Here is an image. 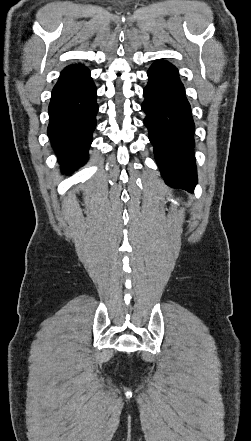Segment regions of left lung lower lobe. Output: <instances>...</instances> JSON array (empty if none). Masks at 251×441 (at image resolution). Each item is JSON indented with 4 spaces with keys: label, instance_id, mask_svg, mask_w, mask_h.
<instances>
[{
    "label": "left lung lower lobe",
    "instance_id": "left-lung-lower-lobe-1",
    "mask_svg": "<svg viewBox=\"0 0 251 441\" xmlns=\"http://www.w3.org/2000/svg\"><path fill=\"white\" fill-rule=\"evenodd\" d=\"M148 78L142 110L157 164L167 185L192 191L197 184L195 125L178 70L167 61H156Z\"/></svg>",
    "mask_w": 251,
    "mask_h": 441
}]
</instances>
